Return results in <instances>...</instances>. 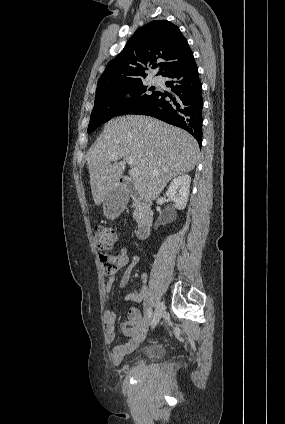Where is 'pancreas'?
Masks as SVG:
<instances>
[{"label": "pancreas", "mask_w": 285, "mask_h": 424, "mask_svg": "<svg viewBox=\"0 0 285 424\" xmlns=\"http://www.w3.org/2000/svg\"><path fill=\"white\" fill-rule=\"evenodd\" d=\"M133 218L137 219L138 218V210L135 209L134 213H133Z\"/></svg>", "instance_id": "cf45deb5"}]
</instances>
